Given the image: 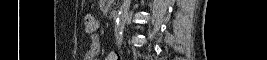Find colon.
Here are the masks:
<instances>
[{"label":"colon","mask_w":267,"mask_h":60,"mask_svg":"<svg viewBox=\"0 0 267 60\" xmlns=\"http://www.w3.org/2000/svg\"><path fill=\"white\" fill-rule=\"evenodd\" d=\"M97 20L92 15H86L84 18V28L87 34H94L97 30Z\"/></svg>","instance_id":"obj_1"}]
</instances>
